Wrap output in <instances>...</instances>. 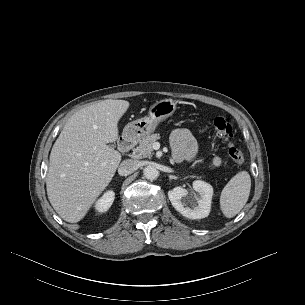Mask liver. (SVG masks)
<instances>
[{
    "instance_id": "liver-1",
    "label": "liver",
    "mask_w": 305,
    "mask_h": 305,
    "mask_svg": "<svg viewBox=\"0 0 305 305\" xmlns=\"http://www.w3.org/2000/svg\"><path fill=\"white\" fill-rule=\"evenodd\" d=\"M126 100H103L73 114L54 143L46 178L48 199L58 215L77 223L108 186L121 154L108 146L118 139Z\"/></svg>"
}]
</instances>
